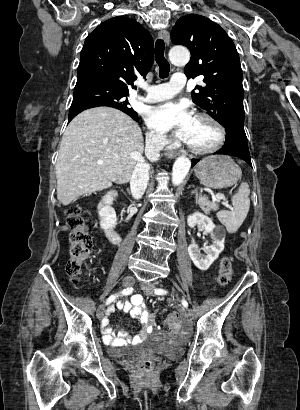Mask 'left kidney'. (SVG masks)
<instances>
[{"label": "left kidney", "instance_id": "1", "mask_svg": "<svg viewBox=\"0 0 300 410\" xmlns=\"http://www.w3.org/2000/svg\"><path fill=\"white\" fill-rule=\"evenodd\" d=\"M187 224L191 228L196 225L202 226L213 239V244L204 249L205 256L201 255L200 249L194 241L188 247V253L194 265L200 270H207L224 250L225 232L222 228L216 227L211 218L200 212L188 216Z\"/></svg>", "mask_w": 300, "mask_h": 410}]
</instances>
